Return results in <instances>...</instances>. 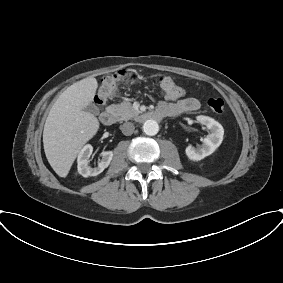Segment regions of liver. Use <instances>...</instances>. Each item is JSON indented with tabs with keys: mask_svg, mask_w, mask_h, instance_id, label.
I'll list each match as a JSON object with an SVG mask.
<instances>
[{
	"mask_svg": "<svg viewBox=\"0 0 283 283\" xmlns=\"http://www.w3.org/2000/svg\"><path fill=\"white\" fill-rule=\"evenodd\" d=\"M98 87L94 77L69 86L56 100L46 119L43 145L46 158L60 177H66L78 153L98 131L99 121L84 109Z\"/></svg>",
	"mask_w": 283,
	"mask_h": 283,
	"instance_id": "1",
	"label": "liver"
}]
</instances>
